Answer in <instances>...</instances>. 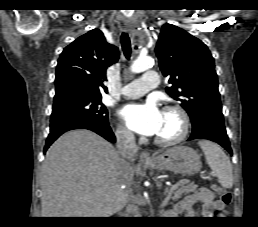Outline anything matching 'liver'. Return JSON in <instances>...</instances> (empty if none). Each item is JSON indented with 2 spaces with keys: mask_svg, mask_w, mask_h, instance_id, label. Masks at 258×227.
Wrapping results in <instances>:
<instances>
[{
  "mask_svg": "<svg viewBox=\"0 0 258 227\" xmlns=\"http://www.w3.org/2000/svg\"><path fill=\"white\" fill-rule=\"evenodd\" d=\"M112 144L89 130L63 134L41 173L42 217H109L132 197L134 169L121 168Z\"/></svg>",
  "mask_w": 258,
  "mask_h": 227,
  "instance_id": "liver-1",
  "label": "liver"
}]
</instances>
